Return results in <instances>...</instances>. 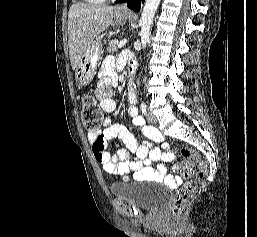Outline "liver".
Wrapping results in <instances>:
<instances>
[{
  "mask_svg": "<svg viewBox=\"0 0 257 237\" xmlns=\"http://www.w3.org/2000/svg\"><path fill=\"white\" fill-rule=\"evenodd\" d=\"M113 7L73 4L68 13V45L72 69L75 70L79 61L92 43L111 24Z\"/></svg>",
  "mask_w": 257,
  "mask_h": 237,
  "instance_id": "1",
  "label": "liver"
}]
</instances>
